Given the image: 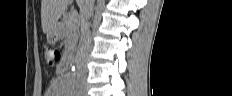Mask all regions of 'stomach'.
<instances>
[{"instance_id":"stomach-1","label":"stomach","mask_w":232,"mask_h":96,"mask_svg":"<svg viewBox=\"0 0 232 96\" xmlns=\"http://www.w3.org/2000/svg\"><path fill=\"white\" fill-rule=\"evenodd\" d=\"M61 38L60 26L57 25L47 34V42L49 44H55Z\"/></svg>"}]
</instances>
